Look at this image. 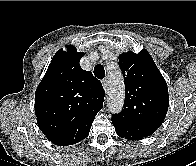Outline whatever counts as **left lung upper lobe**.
Instances as JSON below:
<instances>
[{
    "label": "left lung upper lobe",
    "mask_w": 196,
    "mask_h": 166,
    "mask_svg": "<svg viewBox=\"0 0 196 166\" xmlns=\"http://www.w3.org/2000/svg\"><path fill=\"white\" fill-rule=\"evenodd\" d=\"M125 82L124 108L111 118L114 126L139 137L151 135L164 121L169 96L165 79L147 50L119 56Z\"/></svg>",
    "instance_id": "obj_1"
}]
</instances>
